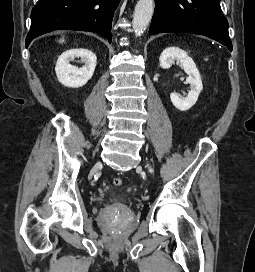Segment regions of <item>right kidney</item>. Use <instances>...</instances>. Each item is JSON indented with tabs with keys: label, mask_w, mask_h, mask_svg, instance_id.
I'll use <instances>...</instances> for the list:
<instances>
[{
	"label": "right kidney",
	"mask_w": 255,
	"mask_h": 272,
	"mask_svg": "<svg viewBox=\"0 0 255 272\" xmlns=\"http://www.w3.org/2000/svg\"><path fill=\"white\" fill-rule=\"evenodd\" d=\"M81 58L85 63L82 68L70 64L74 58ZM96 55L84 48L70 49L63 52L56 63L55 72L61 84L67 87L79 88L84 86L93 76L96 67Z\"/></svg>",
	"instance_id": "ca27d5eb"
}]
</instances>
